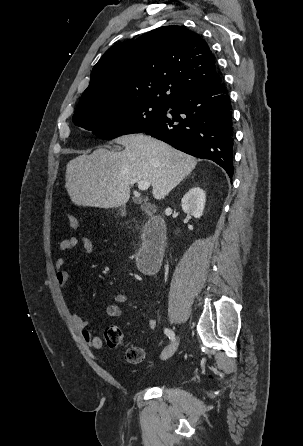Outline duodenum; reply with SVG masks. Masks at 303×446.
I'll use <instances>...</instances> for the list:
<instances>
[{"label": "duodenum", "mask_w": 303, "mask_h": 446, "mask_svg": "<svg viewBox=\"0 0 303 446\" xmlns=\"http://www.w3.org/2000/svg\"><path fill=\"white\" fill-rule=\"evenodd\" d=\"M166 228L163 219L151 215L143 228V240L136 257L137 267L146 274L154 273L163 258Z\"/></svg>", "instance_id": "1"}]
</instances>
